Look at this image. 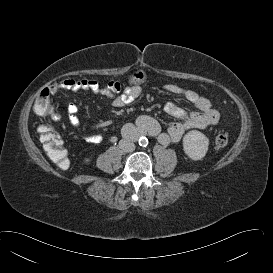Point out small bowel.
Wrapping results in <instances>:
<instances>
[{"label":"small bowel","mask_w":273,"mask_h":273,"mask_svg":"<svg viewBox=\"0 0 273 273\" xmlns=\"http://www.w3.org/2000/svg\"><path fill=\"white\" fill-rule=\"evenodd\" d=\"M61 88L68 89H84L92 92L93 94H101L103 89L99 82L92 79L82 80H63L59 82ZM107 91L110 93L119 94L121 86L118 82L111 81L107 84ZM168 92L181 94L184 98L192 103L199 111L186 113L180 106L172 102H167L163 105V111L170 116L177 118V121L171 123L165 131H162L160 123L148 116H139L136 124L143 126L150 135L157 137L158 141L167 145L171 142H178L184 133L192 128H206L216 125L219 121L220 114L213 108L208 100L200 97L192 90L182 89L181 87L168 84L165 86ZM141 94V88L139 86L127 87L121 94L116 96L113 100V104L116 107H123L134 100H136ZM78 108L74 104L68 106L69 121L70 124L78 129L80 127V119L77 116ZM106 123H104L105 125ZM84 139L88 142L97 143L103 138L102 134L98 132L83 133Z\"/></svg>","instance_id":"c3829d8e"}]
</instances>
